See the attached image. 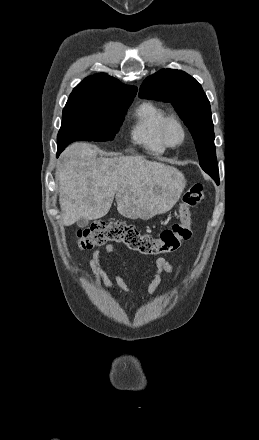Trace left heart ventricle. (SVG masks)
<instances>
[{
    "instance_id": "1",
    "label": "left heart ventricle",
    "mask_w": 259,
    "mask_h": 440,
    "mask_svg": "<svg viewBox=\"0 0 259 440\" xmlns=\"http://www.w3.org/2000/svg\"><path fill=\"white\" fill-rule=\"evenodd\" d=\"M182 134L177 125L171 124L168 128V138L172 143H177L181 140Z\"/></svg>"
}]
</instances>
